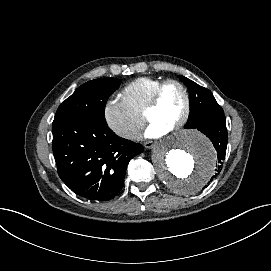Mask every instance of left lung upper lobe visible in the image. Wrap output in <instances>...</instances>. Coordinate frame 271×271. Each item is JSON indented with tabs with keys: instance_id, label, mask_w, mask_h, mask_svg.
I'll use <instances>...</instances> for the list:
<instances>
[{
	"instance_id": "1",
	"label": "left lung upper lobe",
	"mask_w": 271,
	"mask_h": 271,
	"mask_svg": "<svg viewBox=\"0 0 271 271\" xmlns=\"http://www.w3.org/2000/svg\"><path fill=\"white\" fill-rule=\"evenodd\" d=\"M179 78L187 86L190 98V115L185 128L195 129L209 112L220 109L221 106L210 90L182 75Z\"/></svg>"
}]
</instances>
